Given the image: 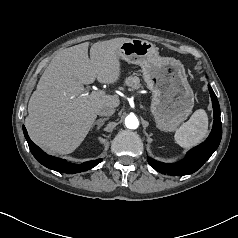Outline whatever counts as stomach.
<instances>
[{
  "instance_id": "1",
  "label": "stomach",
  "mask_w": 238,
  "mask_h": 238,
  "mask_svg": "<svg viewBox=\"0 0 238 238\" xmlns=\"http://www.w3.org/2000/svg\"><path fill=\"white\" fill-rule=\"evenodd\" d=\"M119 58L142 68L143 78L152 92L151 113L157 127L172 132L187 119L194 107V93L183 64L161 57L158 48L142 39H129L118 49Z\"/></svg>"
}]
</instances>
